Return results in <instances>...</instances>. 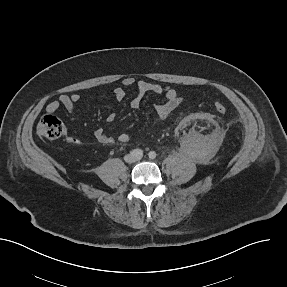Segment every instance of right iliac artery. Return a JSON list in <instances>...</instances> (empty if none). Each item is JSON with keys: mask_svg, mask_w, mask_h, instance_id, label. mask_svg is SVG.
I'll list each match as a JSON object with an SVG mask.
<instances>
[{"mask_svg": "<svg viewBox=\"0 0 287 287\" xmlns=\"http://www.w3.org/2000/svg\"><path fill=\"white\" fill-rule=\"evenodd\" d=\"M130 153L133 156H142L143 155V151L141 149H134Z\"/></svg>", "mask_w": 287, "mask_h": 287, "instance_id": "right-iliac-artery-1", "label": "right iliac artery"}]
</instances>
